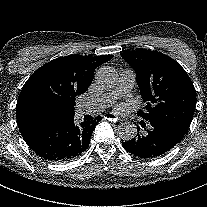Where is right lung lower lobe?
<instances>
[{
	"label": "right lung lower lobe",
	"instance_id": "98d812e1",
	"mask_svg": "<svg viewBox=\"0 0 207 207\" xmlns=\"http://www.w3.org/2000/svg\"><path fill=\"white\" fill-rule=\"evenodd\" d=\"M101 117L77 124L74 115L28 138L27 145L42 159L65 162L81 155L89 146L90 137Z\"/></svg>",
	"mask_w": 207,
	"mask_h": 207
}]
</instances>
